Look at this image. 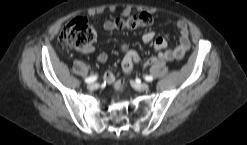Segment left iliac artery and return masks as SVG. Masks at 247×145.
I'll use <instances>...</instances> for the list:
<instances>
[{
    "label": "left iliac artery",
    "mask_w": 247,
    "mask_h": 145,
    "mask_svg": "<svg viewBox=\"0 0 247 145\" xmlns=\"http://www.w3.org/2000/svg\"><path fill=\"white\" fill-rule=\"evenodd\" d=\"M144 79H145L146 81H148V82H151V81L153 80V77L150 76V75H147V76L144 77Z\"/></svg>",
    "instance_id": "1"
}]
</instances>
